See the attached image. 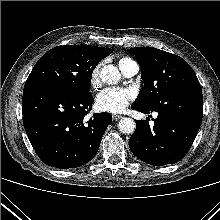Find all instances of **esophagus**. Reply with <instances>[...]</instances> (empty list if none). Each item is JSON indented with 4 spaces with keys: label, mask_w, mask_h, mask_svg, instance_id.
Here are the masks:
<instances>
[{
    "label": "esophagus",
    "mask_w": 220,
    "mask_h": 220,
    "mask_svg": "<svg viewBox=\"0 0 220 220\" xmlns=\"http://www.w3.org/2000/svg\"><path fill=\"white\" fill-rule=\"evenodd\" d=\"M112 117H113V120L117 121V120H119L122 116H121V115L114 114Z\"/></svg>",
    "instance_id": "esophagus-1"
}]
</instances>
